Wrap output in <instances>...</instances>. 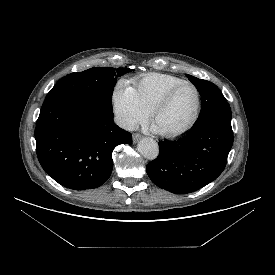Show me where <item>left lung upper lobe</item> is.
<instances>
[{"label":"left lung upper lobe","mask_w":275,"mask_h":275,"mask_svg":"<svg viewBox=\"0 0 275 275\" xmlns=\"http://www.w3.org/2000/svg\"><path fill=\"white\" fill-rule=\"evenodd\" d=\"M202 97L201 112L194 127L212 121L231 120V109L219 88L212 82L187 75Z\"/></svg>","instance_id":"5c2ea615"}]
</instances>
